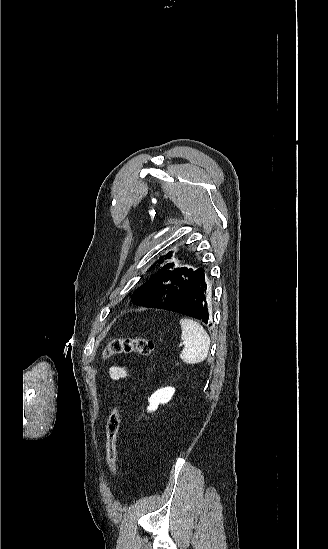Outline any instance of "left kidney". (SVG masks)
Here are the masks:
<instances>
[{"label": "left kidney", "instance_id": "obj_1", "mask_svg": "<svg viewBox=\"0 0 328 549\" xmlns=\"http://www.w3.org/2000/svg\"><path fill=\"white\" fill-rule=\"evenodd\" d=\"M174 393H175V389H173V387H165V389H158V391H156V393H153L150 399H148L150 405L149 407H147V411H156L160 403H169Z\"/></svg>", "mask_w": 328, "mask_h": 549}]
</instances>
